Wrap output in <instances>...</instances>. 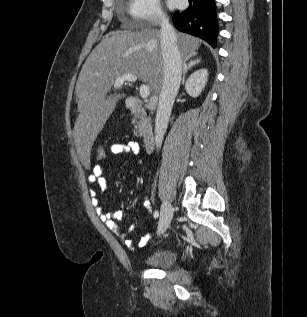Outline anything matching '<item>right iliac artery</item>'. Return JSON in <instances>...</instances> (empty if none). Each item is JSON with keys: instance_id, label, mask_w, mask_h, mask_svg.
Returning <instances> with one entry per match:
<instances>
[{"instance_id": "obj_1", "label": "right iliac artery", "mask_w": 307, "mask_h": 317, "mask_svg": "<svg viewBox=\"0 0 307 317\" xmlns=\"http://www.w3.org/2000/svg\"><path fill=\"white\" fill-rule=\"evenodd\" d=\"M158 216H159V212H158V211H155V212H154V217L157 218Z\"/></svg>"}]
</instances>
